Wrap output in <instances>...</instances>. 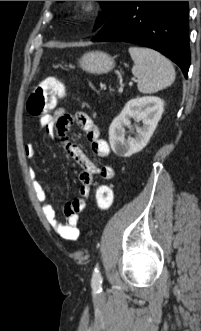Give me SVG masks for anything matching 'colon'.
<instances>
[{
    "label": "colon",
    "mask_w": 201,
    "mask_h": 331,
    "mask_svg": "<svg viewBox=\"0 0 201 331\" xmlns=\"http://www.w3.org/2000/svg\"><path fill=\"white\" fill-rule=\"evenodd\" d=\"M65 95V87L56 78H47L42 81L28 98L26 108L34 117L46 115L52 110L59 99ZM96 205L100 211L106 212L113 205V191L109 185L102 184L96 190Z\"/></svg>",
    "instance_id": "obj_1"
}]
</instances>
